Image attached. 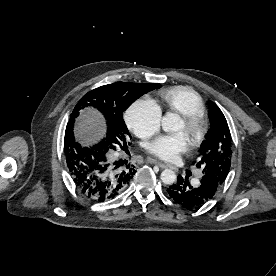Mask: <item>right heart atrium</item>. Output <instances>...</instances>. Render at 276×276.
Returning a JSON list of instances; mask_svg holds the SVG:
<instances>
[{
  "instance_id": "1",
  "label": "right heart atrium",
  "mask_w": 276,
  "mask_h": 276,
  "mask_svg": "<svg viewBox=\"0 0 276 276\" xmlns=\"http://www.w3.org/2000/svg\"><path fill=\"white\" fill-rule=\"evenodd\" d=\"M161 119L160 107L149 98L136 100L125 113L128 127L141 138L154 135L160 128Z\"/></svg>"
}]
</instances>
